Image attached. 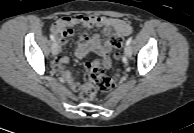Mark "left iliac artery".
I'll return each mask as SVG.
<instances>
[{"mask_svg":"<svg viewBox=\"0 0 194 133\" xmlns=\"http://www.w3.org/2000/svg\"><path fill=\"white\" fill-rule=\"evenodd\" d=\"M132 39H133V37L128 38L126 41V45H130L132 42Z\"/></svg>","mask_w":194,"mask_h":133,"instance_id":"44dca946","label":"left iliac artery"}]
</instances>
